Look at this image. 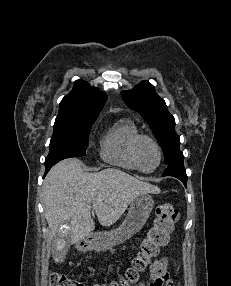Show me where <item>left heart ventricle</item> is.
<instances>
[{
	"label": "left heart ventricle",
	"instance_id": "left-heart-ventricle-1",
	"mask_svg": "<svg viewBox=\"0 0 231 286\" xmlns=\"http://www.w3.org/2000/svg\"><path fill=\"white\" fill-rule=\"evenodd\" d=\"M138 157L143 169L147 171L153 170L158 163V153L156 148L148 141H142L139 150Z\"/></svg>",
	"mask_w": 231,
	"mask_h": 286
}]
</instances>
